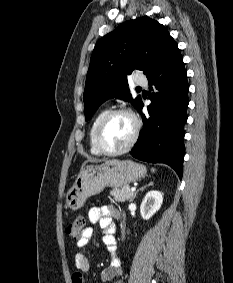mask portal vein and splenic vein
<instances>
[{
    "label": "portal vein and splenic vein",
    "mask_w": 233,
    "mask_h": 283,
    "mask_svg": "<svg viewBox=\"0 0 233 283\" xmlns=\"http://www.w3.org/2000/svg\"><path fill=\"white\" fill-rule=\"evenodd\" d=\"M131 191H132V192H135V191H136V188L132 187V188H131Z\"/></svg>",
    "instance_id": "1"
}]
</instances>
